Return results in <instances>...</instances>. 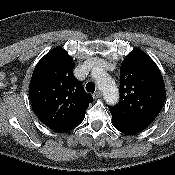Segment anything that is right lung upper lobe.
<instances>
[{"label":"right lung upper lobe","instance_id":"obj_1","mask_svg":"<svg viewBox=\"0 0 175 175\" xmlns=\"http://www.w3.org/2000/svg\"><path fill=\"white\" fill-rule=\"evenodd\" d=\"M75 63L62 48L47 53L36 65L29 99L38 119L55 132H66L84 119L92 96L74 77Z\"/></svg>","mask_w":175,"mask_h":175}]
</instances>
